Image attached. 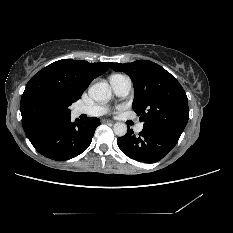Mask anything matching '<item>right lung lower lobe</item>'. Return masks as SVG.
<instances>
[{"mask_svg": "<svg viewBox=\"0 0 233 233\" xmlns=\"http://www.w3.org/2000/svg\"><path fill=\"white\" fill-rule=\"evenodd\" d=\"M100 125L96 117L84 121L70 120L53 127L43 135L30 140L34 148L52 160H68L84 152L90 145L95 129Z\"/></svg>", "mask_w": 233, "mask_h": 233, "instance_id": "98d812e1", "label": "right lung lower lobe"}]
</instances>
